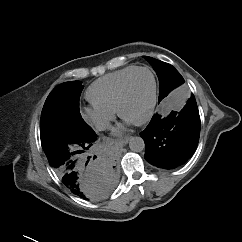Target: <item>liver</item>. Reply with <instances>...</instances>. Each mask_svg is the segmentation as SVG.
<instances>
[{
	"label": "liver",
	"instance_id": "6515ba94",
	"mask_svg": "<svg viewBox=\"0 0 242 242\" xmlns=\"http://www.w3.org/2000/svg\"><path fill=\"white\" fill-rule=\"evenodd\" d=\"M102 195H99L98 193H93L91 197H89L90 199L93 200H97L100 199Z\"/></svg>",
	"mask_w": 242,
	"mask_h": 242
}]
</instances>
